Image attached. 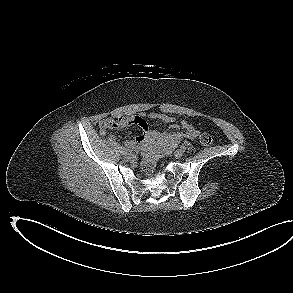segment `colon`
Masks as SVG:
<instances>
[{"instance_id": "colon-1", "label": "colon", "mask_w": 293, "mask_h": 293, "mask_svg": "<svg viewBox=\"0 0 293 293\" xmlns=\"http://www.w3.org/2000/svg\"><path fill=\"white\" fill-rule=\"evenodd\" d=\"M199 141L202 145L209 146L212 144L213 138L208 133H202L199 136ZM175 147L176 145L173 143H165L163 145L150 149L141 163V171L143 172V174L150 175L153 172L156 162L160 158L170 154L175 149Z\"/></svg>"}]
</instances>
